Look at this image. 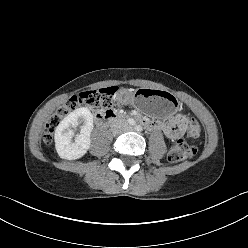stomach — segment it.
<instances>
[{"label": "stomach", "instance_id": "stomach-1", "mask_svg": "<svg viewBox=\"0 0 248 248\" xmlns=\"http://www.w3.org/2000/svg\"><path fill=\"white\" fill-rule=\"evenodd\" d=\"M114 101L120 107L130 104L143 114L154 117H168L176 113L178 101L166 92H160L156 87L135 89L120 88L114 94Z\"/></svg>", "mask_w": 248, "mask_h": 248}]
</instances>
